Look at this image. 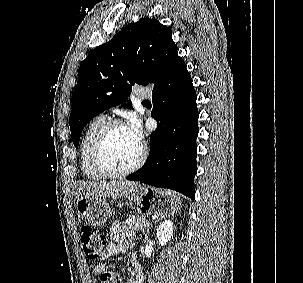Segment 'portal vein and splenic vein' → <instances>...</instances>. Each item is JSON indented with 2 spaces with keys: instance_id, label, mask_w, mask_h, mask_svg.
Segmentation results:
<instances>
[{
  "instance_id": "18ae733b",
  "label": "portal vein and splenic vein",
  "mask_w": 303,
  "mask_h": 283,
  "mask_svg": "<svg viewBox=\"0 0 303 283\" xmlns=\"http://www.w3.org/2000/svg\"><path fill=\"white\" fill-rule=\"evenodd\" d=\"M150 225V223L148 222L147 224H146V226H149Z\"/></svg>"
}]
</instances>
